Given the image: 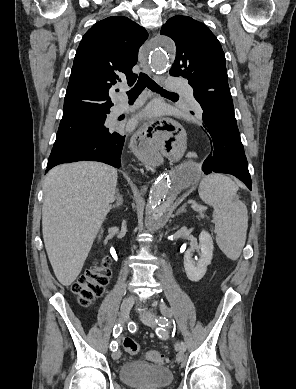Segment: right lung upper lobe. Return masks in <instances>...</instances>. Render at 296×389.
Returning a JSON list of instances; mask_svg holds the SVG:
<instances>
[{"label":"right lung upper lobe","instance_id":"cb5924a9","mask_svg":"<svg viewBox=\"0 0 296 389\" xmlns=\"http://www.w3.org/2000/svg\"><path fill=\"white\" fill-rule=\"evenodd\" d=\"M147 31L127 17H108L94 24L76 51L66 90L63 117L109 113L110 88L123 80L134 83L132 72Z\"/></svg>","mask_w":296,"mask_h":389}]
</instances>
